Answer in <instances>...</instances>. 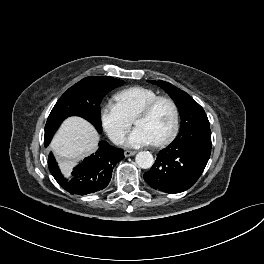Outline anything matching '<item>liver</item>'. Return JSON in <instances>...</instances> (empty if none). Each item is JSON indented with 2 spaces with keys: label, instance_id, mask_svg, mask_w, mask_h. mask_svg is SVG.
<instances>
[{
  "label": "liver",
  "instance_id": "1",
  "mask_svg": "<svg viewBox=\"0 0 264 264\" xmlns=\"http://www.w3.org/2000/svg\"><path fill=\"white\" fill-rule=\"evenodd\" d=\"M99 135L92 124L80 117H69L54 136L50 149L64 172L98 147Z\"/></svg>",
  "mask_w": 264,
  "mask_h": 264
}]
</instances>
